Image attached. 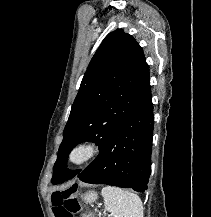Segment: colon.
Returning a JSON list of instances; mask_svg holds the SVG:
<instances>
[{
  "mask_svg": "<svg viewBox=\"0 0 211 217\" xmlns=\"http://www.w3.org/2000/svg\"><path fill=\"white\" fill-rule=\"evenodd\" d=\"M77 186L55 192L52 194L51 201L55 217H74L75 214L81 212V206L75 196ZM82 217H96L91 212H83Z\"/></svg>",
  "mask_w": 211,
  "mask_h": 217,
  "instance_id": "1",
  "label": "colon"
}]
</instances>
